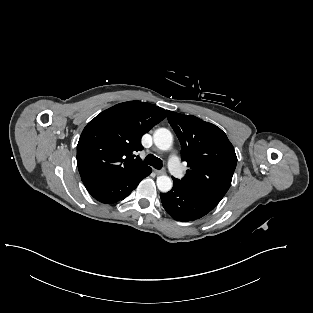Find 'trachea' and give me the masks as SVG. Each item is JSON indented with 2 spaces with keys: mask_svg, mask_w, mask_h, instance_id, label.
I'll list each match as a JSON object with an SVG mask.
<instances>
[{
  "mask_svg": "<svg viewBox=\"0 0 313 313\" xmlns=\"http://www.w3.org/2000/svg\"><path fill=\"white\" fill-rule=\"evenodd\" d=\"M147 165L153 166L155 169L162 168V160L154 156L153 154H148L144 160Z\"/></svg>",
  "mask_w": 313,
  "mask_h": 313,
  "instance_id": "trachea-1",
  "label": "trachea"
}]
</instances>
